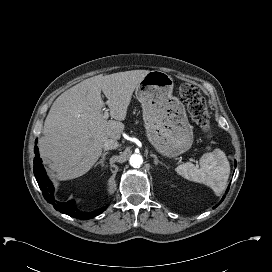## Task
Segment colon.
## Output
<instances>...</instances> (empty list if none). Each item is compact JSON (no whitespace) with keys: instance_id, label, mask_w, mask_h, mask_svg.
I'll list each match as a JSON object with an SVG mask.
<instances>
[{"instance_id":"obj_1","label":"colon","mask_w":272,"mask_h":272,"mask_svg":"<svg viewBox=\"0 0 272 272\" xmlns=\"http://www.w3.org/2000/svg\"><path fill=\"white\" fill-rule=\"evenodd\" d=\"M179 96L185 103L192 119L202 128V130L212 135L206 102L199 90L188 83L181 84L178 88Z\"/></svg>"}]
</instances>
